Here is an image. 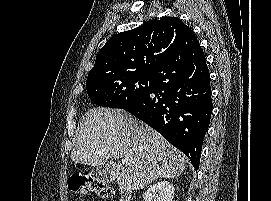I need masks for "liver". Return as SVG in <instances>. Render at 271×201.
<instances>
[{"mask_svg":"<svg viewBox=\"0 0 271 201\" xmlns=\"http://www.w3.org/2000/svg\"><path fill=\"white\" fill-rule=\"evenodd\" d=\"M109 158L118 161L115 178L127 191L142 189L159 178H176L187 162L163 136L128 112L93 108L82 119L71 160L98 167ZM121 158H130L128 168Z\"/></svg>","mask_w":271,"mask_h":201,"instance_id":"obj_1","label":"liver"}]
</instances>
